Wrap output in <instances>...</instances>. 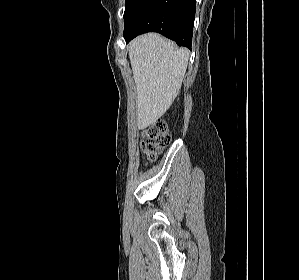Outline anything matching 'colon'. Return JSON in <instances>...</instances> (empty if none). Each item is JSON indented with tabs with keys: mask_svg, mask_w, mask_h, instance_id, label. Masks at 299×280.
I'll return each instance as SVG.
<instances>
[{
	"mask_svg": "<svg viewBox=\"0 0 299 280\" xmlns=\"http://www.w3.org/2000/svg\"><path fill=\"white\" fill-rule=\"evenodd\" d=\"M169 142L167 126L162 120L154 122L142 134V147L149 161H154Z\"/></svg>",
	"mask_w": 299,
	"mask_h": 280,
	"instance_id": "obj_1",
	"label": "colon"
}]
</instances>
